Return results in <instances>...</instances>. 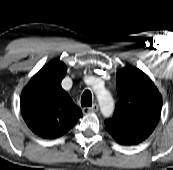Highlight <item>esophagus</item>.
<instances>
[{
    "instance_id": "1",
    "label": "esophagus",
    "mask_w": 173,
    "mask_h": 170,
    "mask_svg": "<svg viewBox=\"0 0 173 170\" xmlns=\"http://www.w3.org/2000/svg\"><path fill=\"white\" fill-rule=\"evenodd\" d=\"M98 109H99V107H98V105L95 103V104H93L91 107H84V108L82 109V111H83V113H90V112L94 113V112H97Z\"/></svg>"
}]
</instances>
